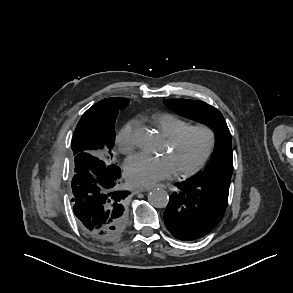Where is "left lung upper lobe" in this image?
<instances>
[{
	"label": "left lung upper lobe",
	"mask_w": 293,
	"mask_h": 293,
	"mask_svg": "<svg viewBox=\"0 0 293 293\" xmlns=\"http://www.w3.org/2000/svg\"><path fill=\"white\" fill-rule=\"evenodd\" d=\"M164 103L177 114L209 126L215 134V149L210 163L195 179L230 182L233 172L232 138L221 112L203 101L167 99Z\"/></svg>",
	"instance_id": "left-lung-upper-lobe-1"
}]
</instances>
